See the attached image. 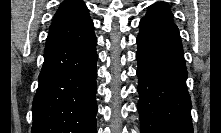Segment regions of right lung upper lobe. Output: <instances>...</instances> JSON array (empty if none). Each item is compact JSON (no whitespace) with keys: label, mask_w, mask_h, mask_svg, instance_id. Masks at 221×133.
I'll list each match as a JSON object with an SVG mask.
<instances>
[{"label":"right lung upper lobe","mask_w":221,"mask_h":133,"mask_svg":"<svg viewBox=\"0 0 221 133\" xmlns=\"http://www.w3.org/2000/svg\"><path fill=\"white\" fill-rule=\"evenodd\" d=\"M93 32V22L83 1L66 0L54 15L46 45L77 44Z\"/></svg>","instance_id":"1"}]
</instances>
